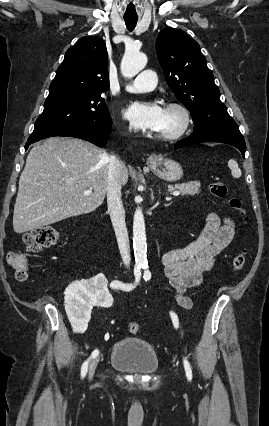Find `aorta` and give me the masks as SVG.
I'll list each match as a JSON object with an SVG mask.
<instances>
[{"mask_svg":"<svg viewBox=\"0 0 269 426\" xmlns=\"http://www.w3.org/2000/svg\"><path fill=\"white\" fill-rule=\"evenodd\" d=\"M147 64V57L135 51H127L121 62V73L124 77L131 78L138 74ZM133 249L136 264L147 262L146 232L143 213L138 207L133 219Z\"/></svg>","mask_w":269,"mask_h":426,"instance_id":"aorta-1","label":"aorta"}]
</instances>
